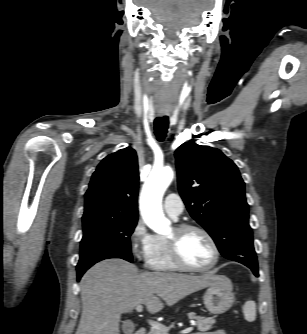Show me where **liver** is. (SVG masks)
I'll use <instances>...</instances> for the list:
<instances>
[{
    "label": "liver",
    "instance_id": "1",
    "mask_svg": "<svg viewBox=\"0 0 307 334\" xmlns=\"http://www.w3.org/2000/svg\"><path fill=\"white\" fill-rule=\"evenodd\" d=\"M216 283L214 271L199 276L166 272H139L122 259L103 260L81 279L82 314L75 334H120L122 313L145 305L160 312L187 295ZM165 304H164V303Z\"/></svg>",
    "mask_w": 307,
    "mask_h": 334
}]
</instances>
